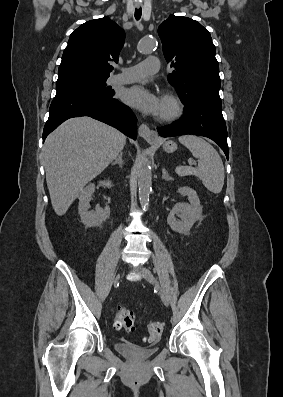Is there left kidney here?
Masks as SVG:
<instances>
[{"instance_id": "left-kidney-1", "label": "left kidney", "mask_w": 283, "mask_h": 397, "mask_svg": "<svg viewBox=\"0 0 283 397\" xmlns=\"http://www.w3.org/2000/svg\"><path fill=\"white\" fill-rule=\"evenodd\" d=\"M178 192L187 196L190 204L177 203L167 217V223L171 229L180 234L190 231L194 223L202 218V206L195 190L184 186ZM176 215L181 217V221L176 219Z\"/></svg>"}]
</instances>
